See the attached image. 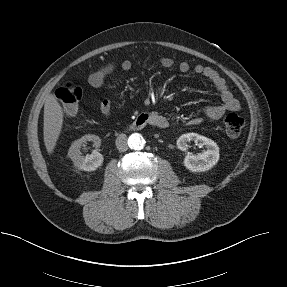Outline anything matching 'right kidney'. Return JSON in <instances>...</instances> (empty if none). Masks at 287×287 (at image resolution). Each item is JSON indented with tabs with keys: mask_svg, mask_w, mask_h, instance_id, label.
Returning a JSON list of instances; mask_svg holds the SVG:
<instances>
[{
	"mask_svg": "<svg viewBox=\"0 0 287 287\" xmlns=\"http://www.w3.org/2000/svg\"><path fill=\"white\" fill-rule=\"evenodd\" d=\"M88 141H92L94 146L100 147L101 139L92 134L85 135L78 140H75L68 151V156L74 163V166L84 171H94L100 167L103 163L104 157L97 150H94L91 154L83 156L80 152L82 146Z\"/></svg>",
	"mask_w": 287,
	"mask_h": 287,
	"instance_id": "ca27d5eb",
	"label": "right kidney"
}]
</instances>
